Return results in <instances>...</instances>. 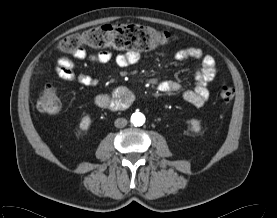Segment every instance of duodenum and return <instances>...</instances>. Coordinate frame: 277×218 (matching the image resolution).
<instances>
[{
	"label": "duodenum",
	"mask_w": 277,
	"mask_h": 218,
	"mask_svg": "<svg viewBox=\"0 0 277 218\" xmlns=\"http://www.w3.org/2000/svg\"><path fill=\"white\" fill-rule=\"evenodd\" d=\"M96 104L101 108L110 109L112 111H119L127 108L132 102V95L127 92L116 99H111L104 94H99L96 97Z\"/></svg>",
	"instance_id": "duodenum-1"
}]
</instances>
